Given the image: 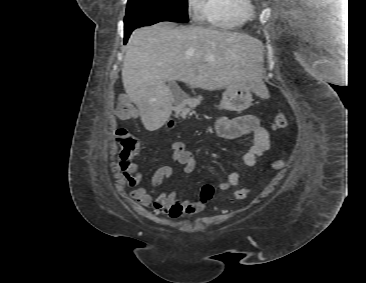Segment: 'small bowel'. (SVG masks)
<instances>
[{
	"label": "small bowel",
	"instance_id": "obj_1",
	"mask_svg": "<svg viewBox=\"0 0 366 283\" xmlns=\"http://www.w3.org/2000/svg\"><path fill=\"white\" fill-rule=\"evenodd\" d=\"M216 133L227 140L238 137H249L250 147L243 155V162L246 166L252 167L256 164L258 157L263 155L270 146L269 133L260 124L256 115H243L235 118L219 116L214 122ZM172 159L182 166L185 175L190 174L196 167L193 154L185 149L181 141L172 144ZM173 174L171 165H163L156 169L151 177L148 187L139 186L142 181V174L134 163H122L121 175L123 182L133 188L130 197L140 206L146 208L152 205L155 214L163 215L172 219L183 214H194L203 207L201 202L190 200H179L175 192H158L161 185ZM244 176L239 172L229 174L226 182L220 184V189L227 190L231 186H238Z\"/></svg>",
	"mask_w": 366,
	"mask_h": 283
}]
</instances>
